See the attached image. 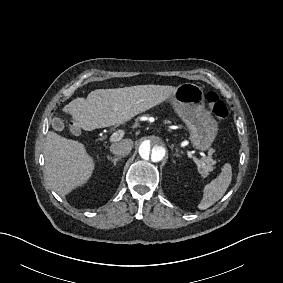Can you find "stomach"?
<instances>
[{
  "instance_id": "stomach-1",
  "label": "stomach",
  "mask_w": 283,
  "mask_h": 283,
  "mask_svg": "<svg viewBox=\"0 0 283 283\" xmlns=\"http://www.w3.org/2000/svg\"><path fill=\"white\" fill-rule=\"evenodd\" d=\"M168 100L188 127L193 146L202 151L209 149L217 135L218 125L205 108L202 88L192 83L181 84Z\"/></svg>"
}]
</instances>
